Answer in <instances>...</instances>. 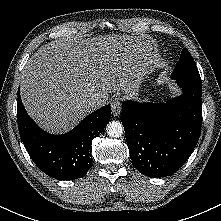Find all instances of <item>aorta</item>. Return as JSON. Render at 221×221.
I'll return each mask as SVG.
<instances>
[{
    "instance_id": "1",
    "label": "aorta",
    "mask_w": 221,
    "mask_h": 221,
    "mask_svg": "<svg viewBox=\"0 0 221 221\" xmlns=\"http://www.w3.org/2000/svg\"><path fill=\"white\" fill-rule=\"evenodd\" d=\"M106 131L110 137L118 138L123 134L124 128L120 122L111 121L108 123Z\"/></svg>"
}]
</instances>
